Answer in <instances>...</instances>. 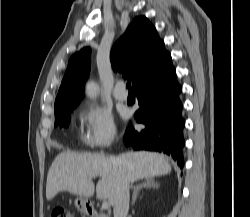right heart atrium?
I'll return each mask as SVG.
<instances>
[{
	"instance_id": "obj_1",
	"label": "right heart atrium",
	"mask_w": 250,
	"mask_h": 217,
	"mask_svg": "<svg viewBox=\"0 0 250 217\" xmlns=\"http://www.w3.org/2000/svg\"><path fill=\"white\" fill-rule=\"evenodd\" d=\"M79 138L90 149L108 147L116 138V126L107 110L96 105H84L78 110Z\"/></svg>"
}]
</instances>
